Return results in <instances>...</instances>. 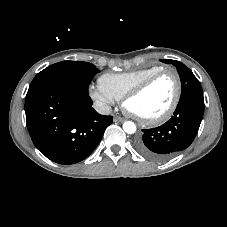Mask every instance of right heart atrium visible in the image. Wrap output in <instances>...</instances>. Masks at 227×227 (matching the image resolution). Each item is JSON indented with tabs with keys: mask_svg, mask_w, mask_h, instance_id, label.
<instances>
[{
	"mask_svg": "<svg viewBox=\"0 0 227 227\" xmlns=\"http://www.w3.org/2000/svg\"><path fill=\"white\" fill-rule=\"evenodd\" d=\"M89 95L95 104L102 110H107L115 102V98L100 85L91 86L89 88Z\"/></svg>",
	"mask_w": 227,
	"mask_h": 227,
	"instance_id": "d8ad5b80",
	"label": "right heart atrium"
}]
</instances>
